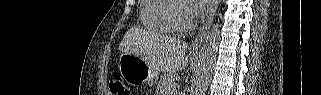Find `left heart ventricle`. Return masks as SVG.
Wrapping results in <instances>:
<instances>
[{
  "mask_svg": "<svg viewBox=\"0 0 321 95\" xmlns=\"http://www.w3.org/2000/svg\"><path fill=\"white\" fill-rule=\"evenodd\" d=\"M183 15H184L186 18L189 17V16L186 14L185 11L183 12Z\"/></svg>",
  "mask_w": 321,
  "mask_h": 95,
  "instance_id": "b2bd125f",
  "label": "left heart ventricle"
}]
</instances>
